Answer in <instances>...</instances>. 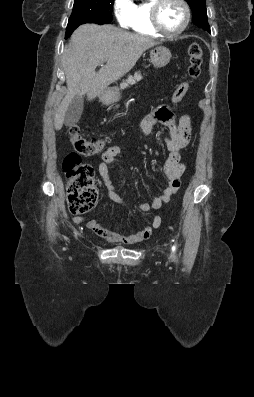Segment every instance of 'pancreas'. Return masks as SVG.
<instances>
[{
    "label": "pancreas",
    "mask_w": 254,
    "mask_h": 397,
    "mask_svg": "<svg viewBox=\"0 0 254 397\" xmlns=\"http://www.w3.org/2000/svg\"><path fill=\"white\" fill-rule=\"evenodd\" d=\"M141 79H142L141 73H140V72H136V73L134 74V76L129 75V76L127 77V79L124 80V81L120 84V87H121V89H124V88H126V87H129V85H133V84L139 82Z\"/></svg>",
    "instance_id": "cf45deb5"
}]
</instances>
